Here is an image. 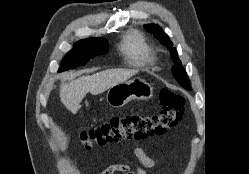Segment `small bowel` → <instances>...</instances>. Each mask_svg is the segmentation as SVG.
<instances>
[{
    "label": "small bowel",
    "mask_w": 249,
    "mask_h": 174,
    "mask_svg": "<svg viewBox=\"0 0 249 174\" xmlns=\"http://www.w3.org/2000/svg\"><path fill=\"white\" fill-rule=\"evenodd\" d=\"M134 154L139 163L145 168H152L157 164V160L148 156L141 147H137L134 150ZM146 174L142 167H136L132 169L126 164H113L102 171L101 174Z\"/></svg>",
    "instance_id": "c3829d8e"
}]
</instances>
